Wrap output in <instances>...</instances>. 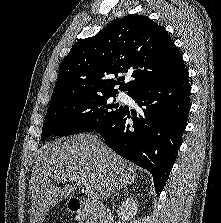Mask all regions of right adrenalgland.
<instances>
[{"instance_id":"right-adrenal-gland-1","label":"right adrenal gland","mask_w":221,"mask_h":223,"mask_svg":"<svg viewBox=\"0 0 221 223\" xmlns=\"http://www.w3.org/2000/svg\"><path fill=\"white\" fill-rule=\"evenodd\" d=\"M128 189V186H125L124 187V191L125 190H127ZM119 194V192H115L114 194H113V196H112V201H113V199H114V197L116 196V195H118ZM112 204H113V207L115 206V204L112 202Z\"/></svg>"}]
</instances>
